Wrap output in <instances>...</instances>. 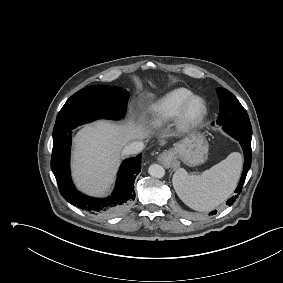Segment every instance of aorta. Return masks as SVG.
Masks as SVG:
<instances>
[{
  "label": "aorta",
  "mask_w": 283,
  "mask_h": 283,
  "mask_svg": "<svg viewBox=\"0 0 283 283\" xmlns=\"http://www.w3.org/2000/svg\"><path fill=\"white\" fill-rule=\"evenodd\" d=\"M148 173L155 178H162L165 175L164 168L159 164H152L148 169Z\"/></svg>",
  "instance_id": "762f6f07"
}]
</instances>
